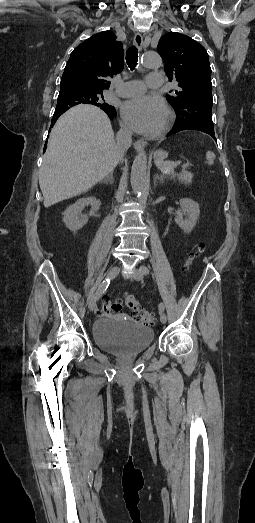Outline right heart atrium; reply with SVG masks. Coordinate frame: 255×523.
<instances>
[{"label": "right heart atrium", "instance_id": "right-heart-atrium-1", "mask_svg": "<svg viewBox=\"0 0 255 523\" xmlns=\"http://www.w3.org/2000/svg\"><path fill=\"white\" fill-rule=\"evenodd\" d=\"M122 130L124 133L126 134H129L130 133V130L128 129V127L125 125V124H122Z\"/></svg>", "mask_w": 255, "mask_h": 523}]
</instances>
